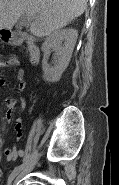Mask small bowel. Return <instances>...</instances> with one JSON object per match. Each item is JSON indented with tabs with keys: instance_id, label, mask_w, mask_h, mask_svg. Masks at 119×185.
Here are the masks:
<instances>
[{
	"instance_id": "obj_1",
	"label": "small bowel",
	"mask_w": 119,
	"mask_h": 185,
	"mask_svg": "<svg viewBox=\"0 0 119 185\" xmlns=\"http://www.w3.org/2000/svg\"><path fill=\"white\" fill-rule=\"evenodd\" d=\"M19 61L16 57H11L8 60H3L0 62V67L2 69H9L14 66H18ZM16 80L18 82V90L21 92L24 90L26 83L24 81V71L23 69H18L16 73ZM0 85H5V79L3 77L0 78ZM20 104L21 109L23 110L26 106L23 100L17 101L14 98H7L5 100V118L8 122H10L13 118L14 110L17 104ZM16 139L19 140L22 136V119L17 117L15 119V127H14ZM24 156V150L17 148L15 146L9 147L5 150V157L7 161H14L19 157Z\"/></svg>"
}]
</instances>
